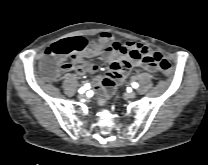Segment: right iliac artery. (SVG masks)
<instances>
[{
    "mask_svg": "<svg viewBox=\"0 0 208 165\" xmlns=\"http://www.w3.org/2000/svg\"><path fill=\"white\" fill-rule=\"evenodd\" d=\"M85 90H86V87H81V88L79 89V93H84Z\"/></svg>",
    "mask_w": 208,
    "mask_h": 165,
    "instance_id": "obj_1",
    "label": "right iliac artery"
}]
</instances>
